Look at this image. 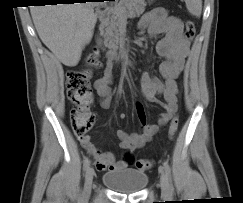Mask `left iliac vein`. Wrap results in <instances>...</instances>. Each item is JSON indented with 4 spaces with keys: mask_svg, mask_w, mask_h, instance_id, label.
<instances>
[{
    "mask_svg": "<svg viewBox=\"0 0 243 203\" xmlns=\"http://www.w3.org/2000/svg\"><path fill=\"white\" fill-rule=\"evenodd\" d=\"M159 172H160L161 191L164 195H167L170 192L167 175L165 173V170L162 167H160Z\"/></svg>",
    "mask_w": 243,
    "mask_h": 203,
    "instance_id": "obj_1",
    "label": "left iliac vein"
}]
</instances>
